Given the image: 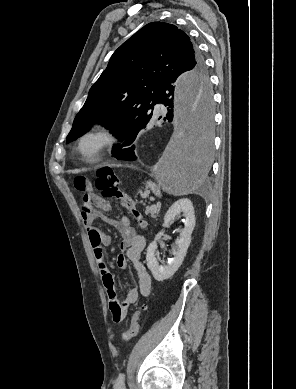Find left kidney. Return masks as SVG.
<instances>
[{
    "instance_id": "left-kidney-1",
    "label": "left kidney",
    "mask_w": 296,
    "mask_h": 389,
    "mask_svg": "<svg viewBox=\"0 0 296 389\" xmlns=\"http://www.w3.org/2000/svg\"><path fill=\"white\" fill-rule=\"evenodd\" d=\"M183 215L184 228L180 233V237L176 240L173 246V257L167 264L159 263L156 250L157 242L164 235V231H160L152 243L147 248L146 261L147 267L150 269L153 277L157 281L169 279L181 266L183 259L187 253L191 242V234L195 227V214L192 202L189 199H180L176 201L166 212L164 216V226H168L176 217Z\"/></svg>"
}]
</instances>
